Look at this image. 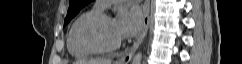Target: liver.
<instances>
[{"instance_id":"1","label":"liver","mask_w":242,"mask_h":64,"mask_svg":"<svg viewBox=\"0 0 242 64\" xmlns=\"http://www.w3.org/2000/svg\"><path fill=\"white\" fill-rule=\"evenodd\" d=\"M75 64H112V61L110 59H91L89 61H76Z\"/></svg>"}]
</instances>
